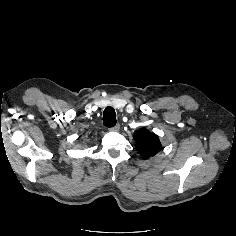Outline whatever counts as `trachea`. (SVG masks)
Masks as SVG:
<instances>
[{
    "label": "trachea",
    "instance_id": "trachea-1",
    "mask_svg": "<svg viewBox=\"0 0 236 236\" xmlns=\"http://www.w3.org/2000/svg\"><path fill=\"white\" fill-rule=\"evenodd\" d=\"M103 124L106 127H114L116 125V113L112 107H107L103 112Z\"/></svg>",
    "mask_w": 236,
    "mask_h": 236
}]
</instances>
